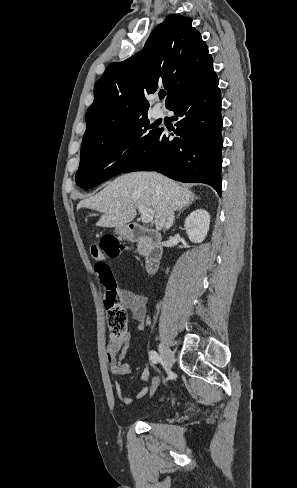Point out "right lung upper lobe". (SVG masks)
<instances>
[{"instance_id": "obj_1", "label": "right lung upper lobe", "mask_w": 297, "mask_h": 488, "mask_svg": "<svg viewBox=\"0 0 297 488\" xmlns=\"http://www.w3.org/2000/svg\"><path fill=\"white\" fill-rule=\"evenodd\" d=\"M192 19L169 15L141 52L110 64L94 86L83 138L103 135L147 116L146 94L167 90L166 108L215 76L213 59Z\"/></svg>"}]
</instances>
